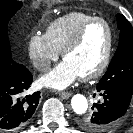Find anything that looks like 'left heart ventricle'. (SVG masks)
<instances>
[{"label":"left heart ventricle","mask_w":133,"mask_h":133,"mask_svg":"<svg viewBox=\"0 0 133 133\" xmlns=\"http://www.w3.org/2000/svg\"><path fill=\"white\" fill-rule=\"evenodd\" d=\"M106 26L94 23L86 30L79 45L70 51L65 60L77 71L79 76L94 71L103 59L107 46Z\"/></svg>","instance_id":"obj_1"}]
</instances>
